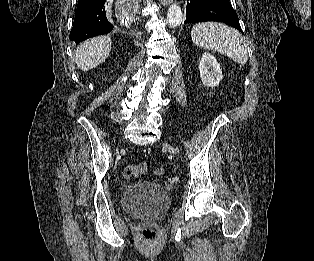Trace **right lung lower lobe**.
Instances as JSON below:
<instances>
[{
  "instance_id": "obj_1",
  "label": "right lung lower lobe",
  "mask_w": 314,
  "mask_h": 261,
  "mask_svg": "<svg viewBox=\"0 0 314 261\" xmlns=\"http://www.w3.org/2000/svg\"><path fill=\"white\" fill-rule=\"evenodd\" d=\"M106 0H79L70 39L81 41L109 33L113 25L106 18Z\"/></svg>"
}]
</instances>
